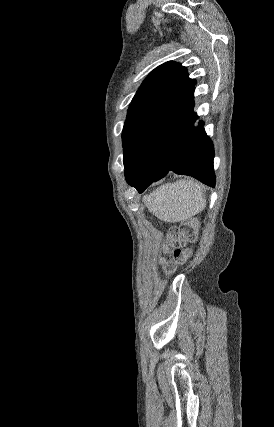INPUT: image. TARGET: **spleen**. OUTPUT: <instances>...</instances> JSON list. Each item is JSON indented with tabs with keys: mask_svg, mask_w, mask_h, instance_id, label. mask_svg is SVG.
Segmentation results:
<instances>
[{
	"mask_svg": "<svg viewBox=\"0 0 274 427\" xmlns=\"http://www.w3.org/2000/svg\"><path fill=\"white\" fill-rule=\"evenodd\" d=\"M143 202L149 212L171 223L189 219L202 212L206 206L203 186L193 178L177 180L175 184H163L150 196H144Z\"/></svg>",
	"mask_w": 274,
	"mask_h": 427,
	"instance_id": "obj_1",
	"label": "spleen"
}]
</instances>
